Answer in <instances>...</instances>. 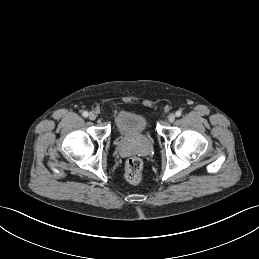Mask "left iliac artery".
<instances>
[{"instance_id": "1", "label": "left iliac artery", "mask_w": 259, "mask_h": 259, "mask_svg": "<svg viewBox=\"0 0 259 259\" xmlns=\"http://www.w3.org/2000/svg\"><path fill=\"white\" fill-rule=\"evenodd\" d=\"M181 114H182V112L181 111H176V113H175V115L177 116V117H179V116H181Z\"/></svg>"}]
</instances>
